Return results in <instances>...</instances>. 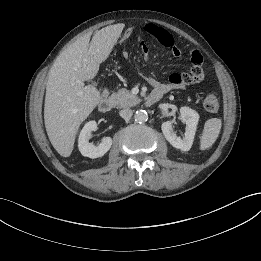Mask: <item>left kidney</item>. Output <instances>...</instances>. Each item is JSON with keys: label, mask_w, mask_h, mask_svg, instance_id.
<instances>
[{"label": "left kidney", "mask_w": 261, "mask_h": 261, "mask_svg": "<svg viewBox=\"0 0 261 261\" xmlns=\"http://www.w3.org/2000/svg\"><path fill=\"white\" fill-rule=\"evenodd\" d=\"M181 120L186 124L185 128V137H178L173 131L174 120L163 122L161 125L162 132L166 140L175 148L182 151H189L194 140L195 132L197 129V124L199 120V114L189 108L181 107L180 108Z\"/></svg>", "instance_id": "1"}]
</instances>
